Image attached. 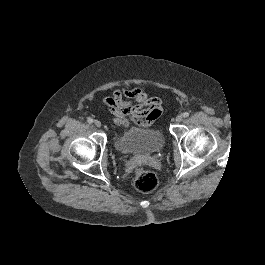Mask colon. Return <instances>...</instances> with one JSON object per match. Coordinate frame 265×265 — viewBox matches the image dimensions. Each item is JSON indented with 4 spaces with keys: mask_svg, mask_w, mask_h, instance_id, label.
<instances>
[{
    "mask_svg": "<svg viewBox=\"0 0 265 265\" xmlns=\"http://www.w3.org/2000/svg\"><path fill=\"white\" fill-rule=\"evenodd\" d=\"M158 185V178L152 171L138 168L134 172V186L143 193L153 191Z\"/></svg>",
    "mask_w": 265,
    "mask_h": 265,
    "instance_id": "colon-1",
    "label": "colon"
}]
</instances>
